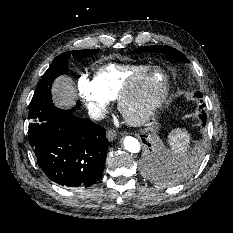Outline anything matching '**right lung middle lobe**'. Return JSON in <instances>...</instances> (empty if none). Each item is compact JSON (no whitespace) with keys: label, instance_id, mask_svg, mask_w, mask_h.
I'll use <instances>...</instances> for the list:
<instances>
[{"label":"right lung middle lobe","instance_id":"obj_1","mask_svg":"<svg viewBox=\"0 0 233 233\" xmlns=\"http://www.w3.org/2000/svg\"><path fill=\"white\" fill-rule=\"evenodd\" d=\"M97 50H74L58 55L38 84L30 103L28 137L32 147H35L45 130L46 122L59 110L52 104L51 86L53 80L67 70L68 59L71 54L77 57H88Z\"/></svg>","mask_w":233,"mask_h":233}]
</instances>
